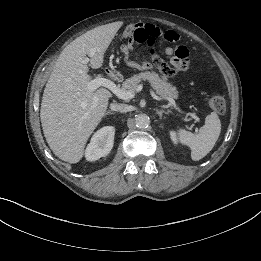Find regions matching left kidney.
I'll list each match as a JSON object with an SVG mask.
<instances>
[{"mask_svg":"<svg viewBox=\"0 0 261 261\" xmlns=\"http://www.w3.org/2000/svg\"><path fill=\"white\" fill-rule=\"evenodd\" d=\"M170 138L174 144H177L176 134L174 131H170Z\"/></svg>","mask_w":261,"mask_h":261,"instance_id":"left-kidney-1","label":"left kidney"}]
</instances>
